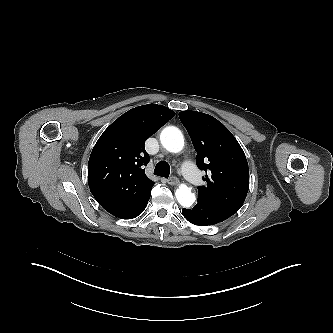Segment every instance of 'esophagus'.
<instances>
[{
	"mask_svg": "<svg viewBox=\"0 0 333 333\" xmlns=\"http://www.w3.org/2000/svg\"><path fill=\"white\" fill-rule=\"evenodd\" d=\"M167 183H168L169 185H177V184H179V180H178L177 177L172 176V177H170V178L167 180Z\"/></svg>",
	"mask_w": 333,
	"mask_h": 333,
	"instance_id": "1",
	"label": "esophagus"
}]
</instances>
